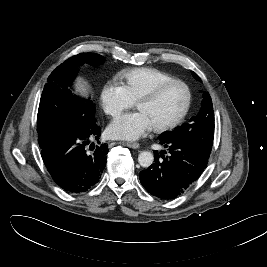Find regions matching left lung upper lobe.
<instances>
[{
	"label": "left lung upper lobe",
	"instance_id": "obj_1",
	"mask_svg": "<svg viewBox=\"0 0 267 267\" xmlns=\"http://www.w3.org/2000/svg\"><path fill=\"white\" fill-rule=\"evenodd\" d=\"M194 78L201 81L199 76L192 72ZM214 112L212 100L208 92L203 93L201 108L197 116L191 118L188 123L176 128L173 131L161 134L160 140L188 142L207 155H210L214 135Z\"/></svg>",
	"mask_w": 267,
	"mask_h": 267
}]
</instances>
